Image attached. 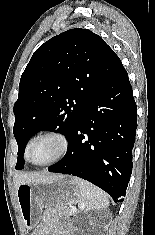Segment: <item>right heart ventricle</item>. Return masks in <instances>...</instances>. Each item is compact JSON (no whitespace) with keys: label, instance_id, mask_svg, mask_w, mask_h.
Here are the masks:
<instances>
[{"label":"right heart ventricle","instance_id":"obj_1","mask_svg":"<svg viewBox=\"0 0 155 235\" xmlns=\"http://www.w3.org/2000/svg\"><path fill=\"white\" fill-rule=\"evenodd\" d=\"M32 139H33V137H32V138H30V139H29V141L27 142V144H26V148H25V151H26V149H27L28 145L30 144V142L32 141Z\"/></svg>","mask_w":155,"mask_h":235}]
</instances>
